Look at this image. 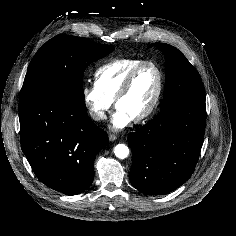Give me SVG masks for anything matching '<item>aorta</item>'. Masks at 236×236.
<instances>
[{
  "label": "aorta",
  "instance_id": "aorta-1",
  "mask_svg": "<svg viewBox=\"0 0 236 236\" xmlns=\"http://www.w3.org/2000/svg\"><path fill=\"white\" fill-rule=\"evenodd\" d=\"M115 156L119 159H125L129 155V148L125 144H118L114 148Z\"/></svg>",
  "mask_w": 236,
  "mask_h": 236
}]
</instances>
